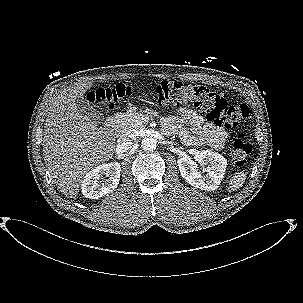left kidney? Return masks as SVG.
<instances>
[{
    "label": "left kidney",
    "instance_id": "left-kidney-1",
    "mask_svg": "<svg viewBox=\"0 0 303 303\" xmlns=\"http://www.w3.org/2000/svg\"><path fill=\"white\" fill-rule=\"evenodd\" d=\"M196 160L201 165H207V174L202 176L197 169V164L189 157L178 159V167L181 176L191 185L201 190H216L226 171L227 160L219 153L203 150L197 156Z\"/></svg>",
    "mask_w": 303,
    "mask_h": 303
}]
</instances>
